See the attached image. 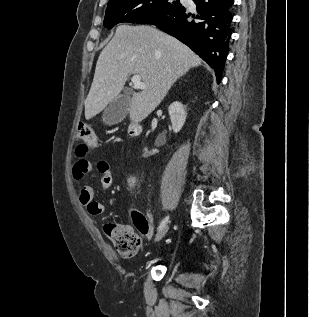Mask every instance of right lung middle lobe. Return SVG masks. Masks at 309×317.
<instances>
[{"label": "right lung middle lobe", "mask_w": 309, "mask_h": 317, "mask_svg": "<svg viewBox=\"0 0 309 317\" xmlns=\"http://www.w3.org/2000/svg\"><path fill=\"white\" fill-rule=\"evenodd\" d=\"M181 6L179 0H110L104 26L111 29L118 23H137L140 20Z\"/></svg>", "instance_id": "1"}]
</instances>
